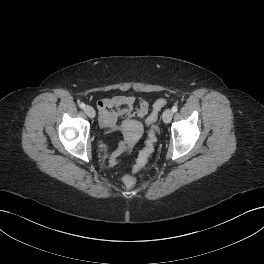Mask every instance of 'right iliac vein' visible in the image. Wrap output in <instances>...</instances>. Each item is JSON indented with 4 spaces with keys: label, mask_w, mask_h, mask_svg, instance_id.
Here are the masks:
<instances>
[{
    "label": "right iliac vein",
    "mask_w": 264,
    "mask_h": 264,
    "mask_svg": "<svg viewBox=\"0 0 264 264\" xmlns=\"http://www.w3.org/2000/svg\"><path fill=\"white\" fill-rule=\"evenodd\" d=\"M85 113L87 114V116H89L90 118H94L95 117V110L93 109V107L91 106H87L84 109Z\"/></svg>",
    "instance_id": "obj_1"
}]
</instances>
